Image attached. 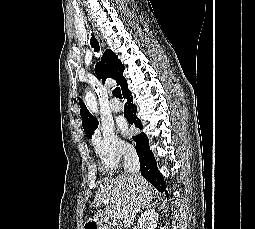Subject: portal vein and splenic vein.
Here are the masks:
<instances>
[{
    "instance_id": "18ae733b",
    "label": "portal vein and splenic vein",
    "mask_w": 255,
    "mask_h": 229,
    "mask_svg": "<svg viewBox=\"0 0 255 229\" xmlns=\"http://www.w3.org/2000/svg\"><path fill=\"white\" fill-rule=\"evenodd\" d=\"M108 202H109V200L104 201V203H108ZM116 207H117V217L119 219H122L124 216V212L120 208V203H116Z\"/></svg>"
}]
</instances>
